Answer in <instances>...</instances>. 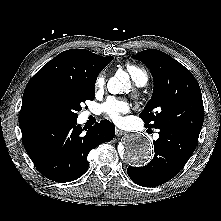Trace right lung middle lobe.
<instances>
[{
	"label": "right lung middle lobe",
	"mask_w": 221,
	"mask_h": 221,
	"mask_svg": "<svg viewBox=\"0 0 221 221\" xmlns=\"http://www.w3.org/2000/svg\"><path fill=\"white\" fill-rule=\"evenodd\" d=\"M93 85L66 88H47L39 92L29 103L27 114L30 118H55L76 120L77 111L86 100H93Z\"/></svg>",
	"instance_id": "1"
}]
</instances>
